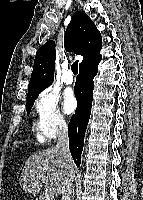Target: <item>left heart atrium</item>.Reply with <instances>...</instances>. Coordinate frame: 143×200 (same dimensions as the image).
<instances>
[{"mask_svg":"<svg viewBox=\"0 0 143 200\" xmlns=\"http://www.w3.org/2000/svg\"><path fill=\"white\" fill-rule=\"evenodd\" d=\"M77 107V101L74 93L71 90H67L63 96V109L67 114L72 113Z\"/></svg>","mask_w":143,"mask_h":200,"instance_id":"left-heart-atrium-1","label":"left heart atrium"}]
</instances>
